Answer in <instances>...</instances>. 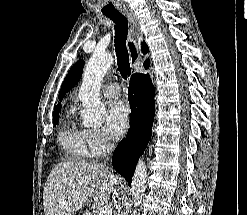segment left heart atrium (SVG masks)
<instances>
[{"instance_id": "obj_1", "label": "left heart atrium", "mask_w": 247, "mask_h": 215, "mask_svg": "<svg viewBox=\"0 0 247 215\" xmlns=\"http://www.w3.org/2000/svg\"><path fill=\"white\" fill-rule=\"evenodd\" d=\"M106 128L115 137L123 135L129 126V108L123 101H113L104 114Z\"/></svg>"}]
</instances>
